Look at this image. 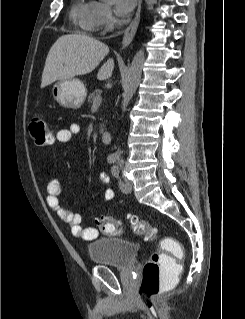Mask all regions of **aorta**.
<instances>
[{
  "label": "aorta",
  "mask_w": 245,
  "mask_h": 319,
  "mask_svg": "<svg viewBox=\"0 0 245 319\" xmlns=\"http://www.w3.org/2000/svg\"><path fill=\"white\" fill-rule=\"evenodd\" d=\"M149 9H152L156 0H145ZM144 50L140 49L134 56L132 63L128 70V75L125 84V90L123 93V101H122V111L125 112L129 101L132 99L135 94L137 87L139 85L142 69L144 64Z\"/></svg>",
  "instance_id": "762f6f07"
}]
</instances>
